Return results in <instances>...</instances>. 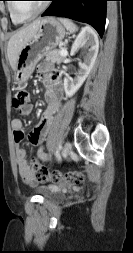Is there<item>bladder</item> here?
<instances>
[{
    "instance_id": "bladder-1",
    "label": "bladder",
    "mask_w": 133,
    "mask_h": 253,
    "mask_svg": "<svg viewBox=\"0 0 133 253\" xmlns=\"http://www.w3.org/2000/svg\"><path fill=\"white\" fill-rule=\"evenodd\" d=\"M37 192L46 200L60 201L64 197V193L61 190L52 187H42Z\"/></svg>"
}]
</instances>
